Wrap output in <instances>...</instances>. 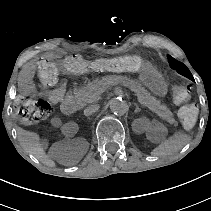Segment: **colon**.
Instances as JSON below:
<instances>
[{
  "instance_id": "5ec220e1",
  "label": "colon",
  "mask_w": 211,
  "mask_h": 211,
  "mask_svg": "<svg viewBox=\"0 0 211 211\" xmlns=\"http://www.w3.org/2000/svg\"><path fill=\"white\" fill-rule=\"evenodd\" d=\"M154 68L152 62L139 55H123L112 58L86 60L78 56H70L61 60H47L39 66L38 78L41 87L54 85L63 74L79 75L88 71L96 72H127L145 73ZM174 100L184 104L179 110V119L185 128L195 126L198 118V108L188 104L191 91L186 86H176L173 89ZM51 112V106L46 100H35L29 96H21L16 104V117L24 125H33L46 119Z\"/></svg>"
}]
</instances>
